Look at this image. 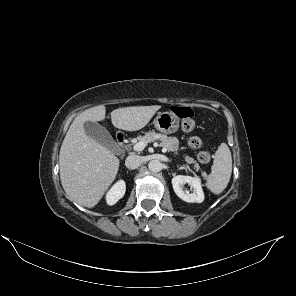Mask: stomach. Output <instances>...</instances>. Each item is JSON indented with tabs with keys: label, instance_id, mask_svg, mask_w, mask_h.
Segmentation results:
<instances>
[{
	"label": "stomach",
	"instance_id": "0dacf381",
	"mask_svg": "<svg viewBox=\"0 0 296 296\" xmlns=\"http://www.w3.org/2000/svg\"><path fill=\"white\" fill-rule=\"evenodd\" d=\"M153 123L155 128L163 134L175 133L179 128L178 116L170 111L159 113Z\"/></svg>",
	"mask_w": 296,
	"mask_h": 296
}]
</instances>
